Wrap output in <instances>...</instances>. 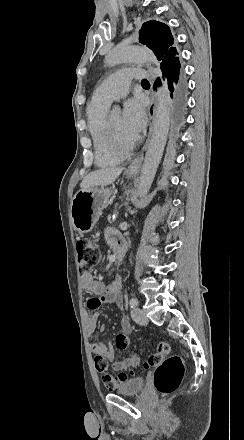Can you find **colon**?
Segmentation results:
<instances>
[{
  "instance_id": "1",
  "label": "colon",
  "mask_w": 244,
  "mask_h": 440,
  "mask_svg": "<svg viewBox=\"0 0 244 440\" xmlns=\"http://www.w3.org/2000/svg\"><path fill=\"white\" fill-rule=\"evenodd\" d=\"M77 263L81 271H88L99 262V250L92 246L89 241L79 239L76 242ZM115 347L121 351L130 348L131 343L123 333H118L115 338ZM94 366L102 381L109 386H117L127 381L133 371H121L117 375L108 373V360L102 354H96L93 358ZM156 367L154 372V386L161 395L172 394L180 385L184 376V366L181 356L171 352L170 345L166 341H160L156 351L144 362L143 368Z\"/></svg>"
}]
</instances>
